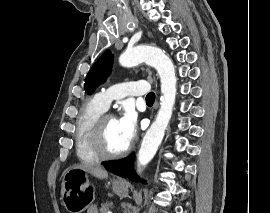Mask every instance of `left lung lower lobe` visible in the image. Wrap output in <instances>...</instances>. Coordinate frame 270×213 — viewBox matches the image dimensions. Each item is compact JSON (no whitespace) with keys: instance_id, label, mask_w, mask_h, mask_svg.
Returning a JSON list of instances; mask_svg holds the SVG:
<instances>
[{"instance_id":"left-lung-lower-lobe-1","label":"left lung lower lobe","mask_w":270,"mask_h":213,"mask_svg":"<svg viewBox=\"0 0 270 213\" xmlns=\"http://www.w3.org/2000/svg\"><path fill=\"white\" fill-rule=\"evenodd\" d=\"M135 155L132 154L127 158L122 160H117L112 162L110 165L105 166L107 170L110 172L121 176V177H129L131 180L137 182L138 177L135 173H133V162H134Z\"/></svg>"}]
</instances>
